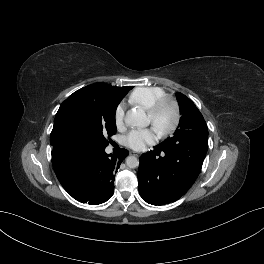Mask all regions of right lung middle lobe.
<instances>
[{
	"label": "right lung middle lobe",
	"mask_w": 264,
	"mask_h": 264,
	"mask_svg": "<svg viewBox=\"0 0 264 264\" xmlns=\"http://www.w3.org/2000/svg\"><path fill=\"white\" fill-rule=\"evenodd\" d=\"M127 92L104 83L86 86L70 95L55 116L51 145L65 153L105 149L116 133L115 112Z\"/></svg>",
	"instance_id": "1"
}]
</instances>
